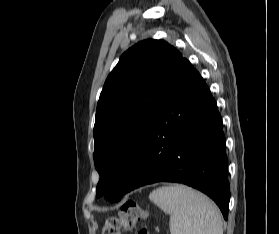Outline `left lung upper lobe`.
Instances as JSON below:
<instances>
[{
  "label": "left lung upper lobe",
  "instance_id": "5c2ea615",
  "mask_svg": "<svg viewBox=\"0 0 279 234\" xmlns=\"http://www.w3.org/2000/svg\"><path fill=\"white\" fill-rule=\"evenodd\" d=\"M182 54L163 40L128 49L108 75L97 104L94 164L97 197L119 201L139 158L160 99Z\"/></svg>",
  "mask_w": 279,
  "mask_h": 234
}]
</instances>
